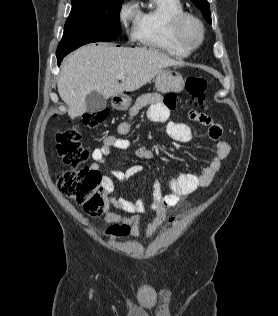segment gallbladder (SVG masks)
Returning <instances> with one entry per match:
<instances>
[{"label": "gallbladder", "mask_w": 278, "mask_h": 316, "mask_svg": "<svg viewBox=\"0 0 278 316\" xmlns=\"http://www.w3.org/2000/svg\"><path fill=\"white\" fill-rule=\"evenodd\" d=\"M87 113L93 114L106 108L105 98L96 91H91L85 98Z\"/></svg>", "instance_id": "gallbladder-1"}]
</instances>
